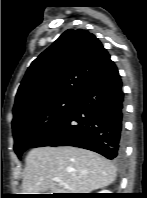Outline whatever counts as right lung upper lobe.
<instances>
[{
  "instance_id": "obj_1",
  "label": "right lung upper lobe",
  "mask_w": 147,
  "mask_h": 198,
  "mask_svg": "<svg viewBox=\"0 0 147 198\" xmlns=\"http://www.w3.org/2000/svg\"><path fill=\"white\" fill-rule=\"evenodd\" d=\"M111 62L95 35L68 29L28 68L16 94L13 121L45 103L76 99Z\"/></svg>"
}]
</instances>
